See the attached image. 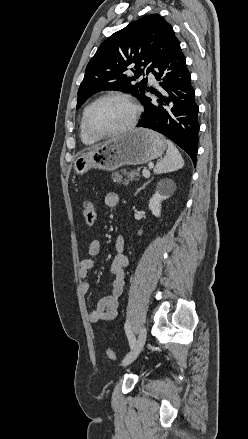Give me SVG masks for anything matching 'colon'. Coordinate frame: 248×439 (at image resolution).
<instances>
[{"mask_svg": "<svg viewBox=\"0 0 248 439\" xmlns=\"http://www.w3.org/2000/svg\"><path fill=\"white\" fill-rule=\"evenodd\" d=\"M83 217L85 223L88 226H92L94 224L96 219V212H95L94 204L90 200H86L83 204ZM105 354L107 358L111 361H115L117 359L115 352L110 348L105 349Z\"/></svg>", "mask_w": 248, "mask_h": 439, "instance_id": "colon-1", "label": "colon"}]
</instances>
